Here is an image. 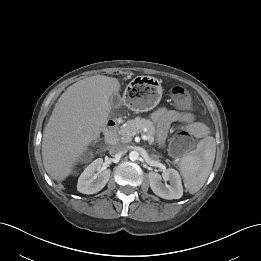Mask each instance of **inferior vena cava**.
Here are the masks:
<instances>
[{
  "label": "inferior vena cava",
  "mask_w": 261,
  "mask_h": 261,
  "mask_svg": "<svg viewBox=\"0 0 261 261\" xmlns=\"http://www.w3.org/2000/svg\"><path fill=\"white\" fill-rule=\"evenodd\" d=\"M109 152L112 156L120 158L122 155H124L127 152V148L124 145L117 144L112 146Z\"/></svg>",
  "instance_id": "obj_1"
}]
</instances>
